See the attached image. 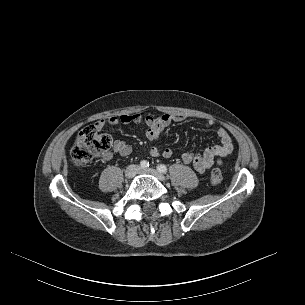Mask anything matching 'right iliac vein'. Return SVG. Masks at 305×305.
I'll list each match as a JSON object with an SVG mask.
<instances>
[{"label":"right iliac vein","instance_id":"63e3f726","mask_svg":"<svg viewBox=\"0 0 305 305\" xmlns=\"http://www.w3.org/2000/svg\"><path fill=\"white\" fill-rule=\"evenodd\" d=\"M139 168L136 165H130L125 170V177L131 179L138 172Z\"/></svg>","mask_w":305,"mask_h":305}]
</instances>
